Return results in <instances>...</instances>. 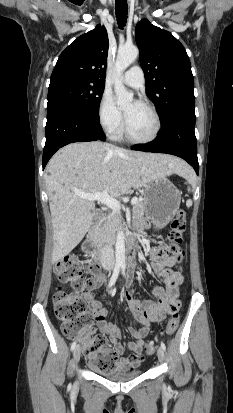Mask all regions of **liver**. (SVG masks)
<instances>
[{
	"label": "liver",
	"instance_id": "obj_1",
	"mask_svg": "<svg viewBox=\"0 0 233 413\" xmlns=\"http://www.w3.org/2000/svg\"><path fill=\"white\" fill-rule=\"evenodd\" d=\"M189 171L179 158L99 141L61 148L47 164L44 176L53 226L52 263L69 254L91 225L94 201L82 199L76 191L90 194L106 190L111 197H118L155 178Z\"/></svg>",
	"mask_w": 233,
	"mask_h": 413
}]
</instances>
